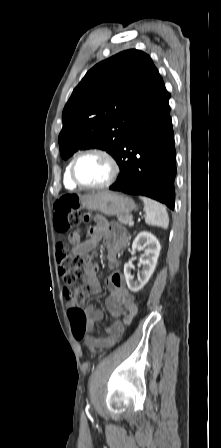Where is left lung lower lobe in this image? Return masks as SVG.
I'll return each instance as SVG.
<instances>
[{
  "mask_svg": "<svg viewBox=\"0 0 221 448\" xmlns=\"http://www.w3.org/2000/svg\"><path fill=\"white\" fill-rule=\"evenodd\" d=\"M165 90L149 102L125 134L116 162L120 167L111 190L144 195L174 208L176 153Z\"/></svg>",
  "mask_w": 221,
  "mask_h": 448,
  "instance_id": "0a47b994",
  "label": "left lung lower lobe"
}]
</instances>
